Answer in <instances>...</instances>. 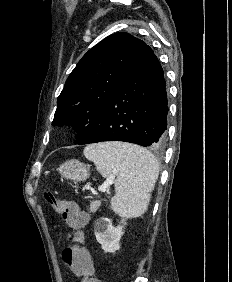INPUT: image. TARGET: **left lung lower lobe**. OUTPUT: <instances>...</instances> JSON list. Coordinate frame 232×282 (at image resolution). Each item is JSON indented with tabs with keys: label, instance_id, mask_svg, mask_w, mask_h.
Listing matches in <instances>:
<instances>
[{
	"label": "left lung lower lobe",
	"instance_id": "1",
	"mask_svg": "<svg viewBox=\"0 0 232 282\" xmlns=\"http://www.w3.org/2000/svg\"><path fill=\"white\" fill-rule=\"evenodd\" d=\"M167 115L164 72L146 45L129 77L104 107L98 124L75 144L125 141L159 148L166 139Z\"/></svg>",
	"mask_w": 232,
	"mask_h": 282
}]
</instances>
